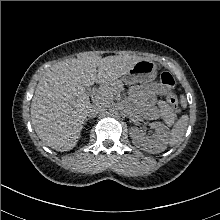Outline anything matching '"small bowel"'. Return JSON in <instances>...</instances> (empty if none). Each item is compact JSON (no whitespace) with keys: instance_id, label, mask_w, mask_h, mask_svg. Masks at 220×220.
Instances as JSON below:
<instances>
[{"instance_id":"1","label":"small bowel","mask_w":220,"mask_h":220,"mask_svg":"<svg viewBox=\"0 0 220 220\" xmlns=\"http://www.w3.org/2000/svg\"><path fill=\"white\" fill-rule=\"evenodd\" d=\"M141 91L150 99H154L156 95L165 94L163 87L156 83L141 88Z\"/></svg>"}]
</instances>
